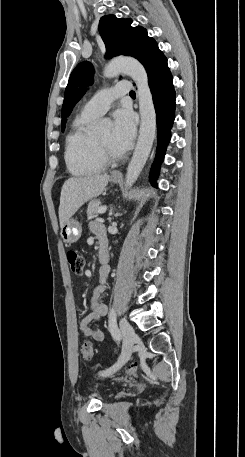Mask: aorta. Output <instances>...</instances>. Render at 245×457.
<instances>
[{"instance_id":"762f6f07","label":"aorta","mask_w":245,"mask_h":457,"mask_svg":"<svg viewBox=\"0 0 245 457\" xmlns=\"http://www.w3.org/2000/svg\"><path fill=\"white\" fill-rule=\"evenodd\" d=\"M121 72L130 76L137 86L141 116L139 138L126 173V187H131L140 175L156 137V112L148 76L142 64L133 58H118L105 67L104 76L112 78ZM109 124L110 122L104 119L97 125V130H104Z\"/></svg>"}]
</instances>
